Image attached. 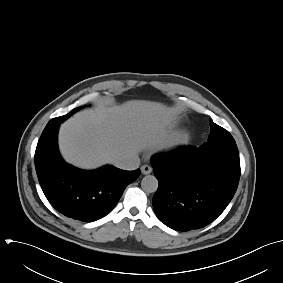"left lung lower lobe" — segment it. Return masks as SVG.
Segmentation results:
<instances>
[{
    "label": "left lung lower lobe",
    "mask_w": 283,
    "mask_h": 283,
    "mask_svg": "<svg viewBox=\"0 0 283 283\" xmlns=\"http://www.w3.org/2000/svg\"><path fill=\"white\" fill-rule=\"evenodd\" d=\"M151 165L159 181L152 201L155 214L178 231L215 220L233 198L240 178L239 158L196 147L153 157Z\"/></svg>",
    "instance_id": "0a47b994"
}]
</instances>
